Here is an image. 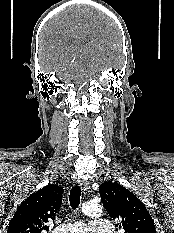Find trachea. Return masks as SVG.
<instances>
[{"label":"trachea","instance_id":"trachea-1","mask_svg":"<svg viewBox=\"0 0 174 233\" xmlns=\"http://www.w3.org/2000/svg\"><path fill=\"white\" fill-rule=\"evenodd\" d=\"M81 188L79 186H73L70 190L69 201L72 209H77L80 204Z\"/></svg>","mask_w":174,"mask_h":233}]
</instances>
